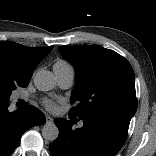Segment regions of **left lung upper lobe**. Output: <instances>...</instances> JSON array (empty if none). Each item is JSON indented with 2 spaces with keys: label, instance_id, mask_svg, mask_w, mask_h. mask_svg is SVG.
Instances as JSON below:
<instances>
[{
  "label": "left lung upper lobe",
  "instance_id": "1",
  "mask_svg": "<svg viewBox=\"0 0 156 156\" xmlns=\"http://www.w3.org/2000/svg\"><path fill=\"white\" fill-rule=\"evenodd\" d=\"M59 50L75 68V102L69 115L80 119L115 116L130 122L137 109L135 76L129 62L113 50L98 45L61 46Z\"/></svg>",
  "mask_w": 156,
  "mask_h": 156
}]
</instances>
